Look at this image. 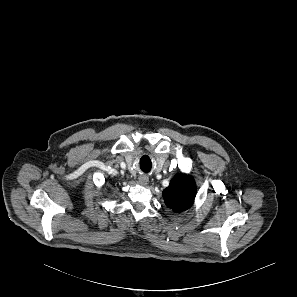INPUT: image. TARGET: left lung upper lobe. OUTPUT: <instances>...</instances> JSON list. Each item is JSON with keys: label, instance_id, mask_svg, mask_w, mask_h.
<instances>
[{"label": "left lung upper lobe", "instance_id": "obj_1", "mask_svg": "<svg viewBox=\"0 0 297 297\" xmlns=\"http://www.w3.org/2000/svg\"><path fill=\"white\" fill-rule=\"evenodd\" d=\"M195 194V182L186 174L176 175L170 185L163 190L165 204L175 212L188 209L194 202Z\"/></svg>", "mask_w": 297, "mask_h": 297}]
</instances>
